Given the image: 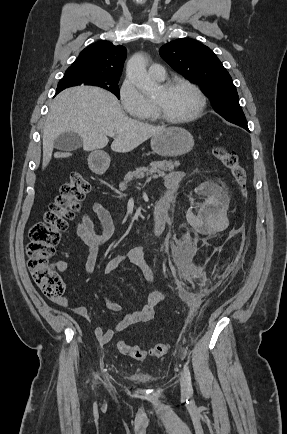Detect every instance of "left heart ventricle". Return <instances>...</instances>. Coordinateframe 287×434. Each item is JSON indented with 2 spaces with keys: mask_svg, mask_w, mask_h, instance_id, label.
Returning a JSON list of instances; mask_svg holds the SVG:
<instances>
[{
  "mask_svg": "<svg viewBox=\"0 0 287 434\" xmlns=\"http://www.w3.org/2000/svg\"><path fill=\"white\" fill-rule=\"evenodd\" d=\"M152 100L157 102L164 113L171 118L186 117L193 113L197 106L196 95L184 86H177L170 90L159 87Z\"/></svg>",
  "mask_w": 287,
  "mask_h": 434,
  "instance_id": "left-heart-ventricle-1",
  "label": "left heart ventricle"
}]
</instances>
